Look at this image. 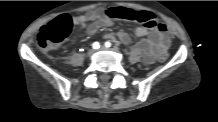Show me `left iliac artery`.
I'll return each mask as SVG.
<instances>
[{"mask_svg": "<svg viewBox=\"0 0 218 122\" xmlns=\"http://www.w3.org/2000/svg\"><path fill=\"white\" fill-rule=\"evenodd\" d=\"M105 46L109 48V47H111V43H110L109 41H107V42L105 43Z\"/></svg>", "mask_w": 218, "mask_h": 122, "instance_id": "obj_1", "label": "left iliac artery"}]
</instances>
